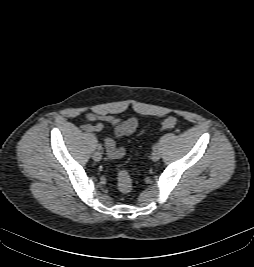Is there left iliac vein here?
I'll return each instance as SVG.
<instances>
[{"label": "left iliac vein", "mask_w": 254, "mask_h": 267, "mask_svg": "<svg viewBox=\"0 0 254 267\" xmlns=\"http://www.w3.org/2000/svg\"><path fill=\"white\" fill-rule=\"evenodd\" d=\"M160 156H161L160 151L159 150H154L152 152L151 159L153 161H158L160 159Z\"/></svg>", "instance_id": "obj_1"}]
</instances>
